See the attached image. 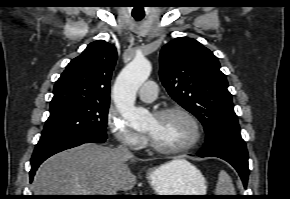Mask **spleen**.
I'll use <instances>...</instances> for the list:
<instances>
[{
    "mask_svg": "<svg viewBox=\"0 0 290 199\" xmlns=\"http://www.w3.org/2000/svg\"><path fill=\"white\" fill-rule=\"evenodd\" d=\"M216 195H235V189L230 176L221 170L215 190Z\"/></svg>",
    "mask_w": 290,
    "mask_h": 199,
    "instance_id": "obj_1",
    "label": "spleen"
}]
</instances>
